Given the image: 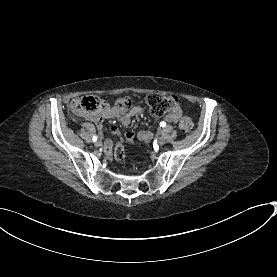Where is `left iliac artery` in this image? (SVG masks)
I'll list each match as a JSON object with an SVG mask.
<instances>
[{
	"label": "left iliac artery",
	"mask_w": 277,
	"mask_h": 277,
	"mask_svg": "<svg viewBox=\"0 0 277 277\" xmlns=\"http://www.w3.org/2000/svg\"><path fill=\"white\" fill-rule=\"evenodd\" d=\"M160 126L161 127H165L166 126V122H164V121L160 122Z\"/></svg>",
	"instance_id": "1"
}]
</instances>
